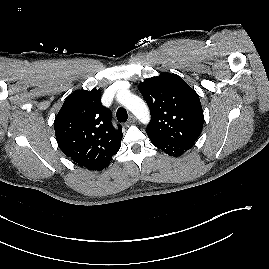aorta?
I'll list each match as a JSON object with an SVG mask.
<instances>
[{"mask_svg":"<svg viewBox=\"0 0 269 269\" xmlns=\"http://www.w3.org/2000/svg\"><path fill=\"white\" fill-rule=\"evenodd\" d=\"M118 101L131 111L141 122L150 120V113L146 103L138 96L124 90L118 94Z\"/></svg>","mask_w":269,"mask_h":269,"instance_id":"aorta-1","label":"aorta"}]
</instances>
